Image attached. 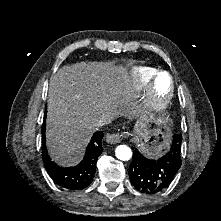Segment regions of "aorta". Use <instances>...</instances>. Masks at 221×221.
Here are the masks:
<instances>
[{
  "instance_id": "762f6f07",
  "label": "aorta",
  "mask_w": 221,
  "mask_h": 221,
  "mask_svg": "<svg viewBox=\"0 0 221 221\" xmlns=\"http://www.w3.org/2000/svg\"><path fill=\"white\" fill-rule=\"evenodd\" d=\"M116 157L122 161H128L132 157L131 149L126 145H119L115 150Z\"/></svg>"
}]
</instances>
